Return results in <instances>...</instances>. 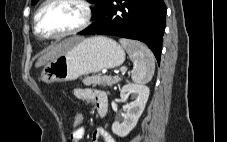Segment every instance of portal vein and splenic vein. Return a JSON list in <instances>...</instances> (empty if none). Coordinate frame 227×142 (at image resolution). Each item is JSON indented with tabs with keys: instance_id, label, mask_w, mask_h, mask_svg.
<instances>
[{
	"instance_id": "18ae733b",
	"label": "portal vein and splenic vein",
	"mask_w": 227,
	"mask_h": 142,
	"mask_svg": "<svg viewBox=\"0 0 227 142\" xmlns=\"http://www.w3.org/2000/svg\"><path fill=\"white\" fill-rule=\"evenodd\" d=\"M121 72H122V73H125V72H126V68H123V69L121 70ZM115 73H116V74H119V71H115Z\"/></svg>"
}]
</instances>
